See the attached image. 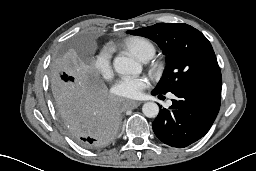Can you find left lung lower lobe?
<instances>
[{"label": "left lung lower lobe", "instance_id": "obj_1", "mask_svg": "<svg viewBox=\"0 0 256 171\" xmlns=\"http://www.w3.org/2000/svg\"><path fill=\"white\" fill-rule=\"evenodd\" d=\"M172 93L176 96L172 106L161 109L152 127L162 142L183 148L209 131L220 108L221 89L183 86Z\"/></svg>", "mask_w": 256, "mask_h": 171}]
</instances>
